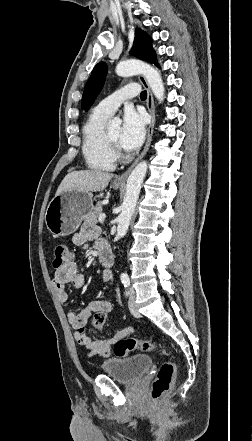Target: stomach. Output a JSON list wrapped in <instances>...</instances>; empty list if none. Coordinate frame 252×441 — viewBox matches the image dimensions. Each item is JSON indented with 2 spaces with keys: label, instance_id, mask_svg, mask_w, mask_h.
Returning <instances> with one entry per match:
<instances>
[{
  "label": "stomach",
  "instance_id": "obj_1",
  "mask_svg": "<svg viewBox=\"0 0 252 441\" xmlns=\"http://www.w3.org/2000/svg\"><path fill=\"white\" fill-rule=\"evenodd\" d=\"M112 187L118 189L120 185L114 183ZM93 202L94 196L91 192L68 190L56 194L46 209L47 229L55 237L74 233L93 210Z\"/></svg>",
  "mask_w": 252,
  "mask_h": 441
}]
</instances>
